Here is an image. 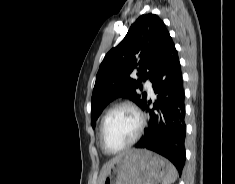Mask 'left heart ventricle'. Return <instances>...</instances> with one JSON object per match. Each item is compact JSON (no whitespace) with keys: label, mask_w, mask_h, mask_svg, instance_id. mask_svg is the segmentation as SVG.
<instances>
[{"label":"left heart ventricle","mask_w":235,"mask_h":184,"mask_svg":"<svg viewBox=\"0 0 235 184\" xmlns=\"http://www.w3.org/2000/svg\"><path fill=\"white\" fill-rule=\"evenodd\" d=\"M137 129L136 114L128 108L118 109L109 118L104 143L111 150L119 149L135 136Z\"/></svg>","instance_id":"1"}]
</instances>
